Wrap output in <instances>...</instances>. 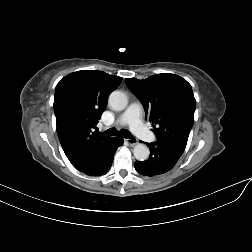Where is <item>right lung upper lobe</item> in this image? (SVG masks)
I'll use <instances>...</instances> for the list:
<instances>
[{
  "label": "right lung upper lobe",
  "mask_w": 252,
  "mask_h": 252,
  "mask_svg": "<svg viewBox=\"0 0 252 252\" xmlns=\"http://www.w3.org/2000/svg\"><path fill=\"white\" fill-rule=\"evenodd\" d=\"M122 78L103 71L81 70L64 77L56 86L54 112L61 146L75 168L98 154L111 137L96 128L109 94Z\"/></svg>",
  "instance_id": "cb5924a9"
}]
</instances>
